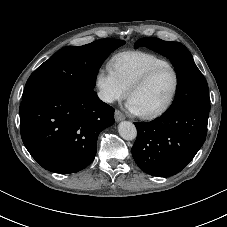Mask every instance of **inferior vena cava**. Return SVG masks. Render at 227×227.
Wrapping results in <instances>:
<instances>
[{
    "mask_svg": "<svg viewBox=\"0 0 227 227\" xmlns=\"http://www.w3.org/2000/svg\"><path fill=\"white\" fill-rule=\"evenodd\" d=\"M98 96H99V98H100L102 101H104V102H106V103H112V102L114 101V98H113L112 95H110V94H108V93H106V92H103V91H100V92L98 93Z\"/></svg>",
    "mask_w": 227,
    "mask_h": 227,
    "instance_id": "inferior-vena-cava-1",
    "label": "inferior vena cava"
}]
</instances>
